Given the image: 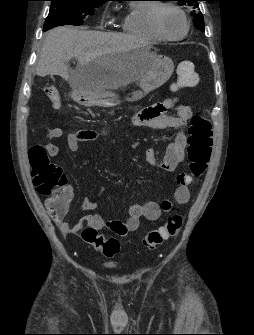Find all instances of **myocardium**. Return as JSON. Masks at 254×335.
Instances as JSON below:
<instances>
[{
	"mask_svg": "<svg viewBox=\"0 0 254 335\" xmlns=\"http://www.w3.org/2000/svg\"><path fill=\"white\" fill-rule=\"evenodd\" d=\"M165 8L173 9L181 15L184 21V24H185V28H184V31L180 35L171 37L162 32L160 25H159V15H160V12ZM150 25L154 33L161 40H166V41L182 40L187 36L190 30V21H189L187 14L184 12V10L180 6L173 4V3H168V2L156 4V6L153 8L151 15H150Z\"/></svg>",
	"mask_w": 254,
	"mask_h": 335,
	"instance_id": "myocardium-1",
	"label": "myocardium"
}]
</instances>
